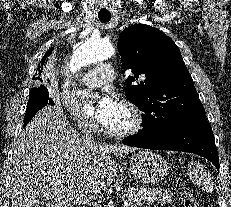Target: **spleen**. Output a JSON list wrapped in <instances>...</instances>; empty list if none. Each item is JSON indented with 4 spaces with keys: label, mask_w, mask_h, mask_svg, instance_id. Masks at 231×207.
Returning <instances> with one entry per match:
<instances>
[{
    "label": "spleen",
    "mask_w": 231,
    "mask_h": 207,
    "mask_svg": "<svg viewBox=\"0 0 231 207\" xmlns=\"http://www.w3.org/2000/svg\"><path fill=\"white\" fill-rule=\"evenodd\" d=\"M188 174L195 184L211 187L209 179L205 177L203 166L199 162H188Z\"/></svg>",
    "instance_id": "1"
}]
</instances>
